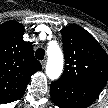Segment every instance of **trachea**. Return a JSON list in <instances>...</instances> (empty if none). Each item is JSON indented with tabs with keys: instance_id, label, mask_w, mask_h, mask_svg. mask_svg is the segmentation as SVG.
Returning a JSON list of instances; mask_svg holds the SVG:
<instances>
[{
	"instance_id": "3493384b",
	"label": "trachea",
	"mask_w": 108,
	"mask_h": 108,
	"mask_svg": "<svg viewBox=\"0 0 108 108\" xmlns=\"http://www.w3.org/2000/svg\"><path fill=\"white\" fill-rule=\"evenodd\" d=\"M35 56H36L37 59L43 60L44 57H45V51L43 49L39 48V49L36 50Z\"/></svg>"
}]
</instances>
